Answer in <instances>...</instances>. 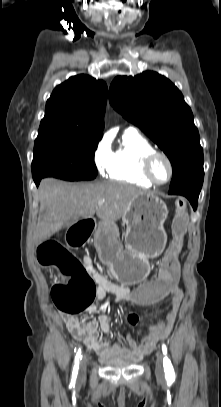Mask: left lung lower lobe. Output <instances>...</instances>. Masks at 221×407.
<instances>
[{"mask_svg": "<svg viewBox=\"0 0 221 407\" xmlns=\"http://www.w3.org/2000/svg\"><path fill=\"white\" fill-rule=\"evenodd\" d=\"M204 171H197L170 187L169 194L182 195L188 198L194 210L197 208L198 197L202 188Z\"/></svg>", "mask_w": 221, "mask_h": 407, "instance_id": "1", "label": "left lung lower lobe"}]
</instances>
